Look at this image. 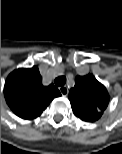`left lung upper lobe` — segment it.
I'll use <instances>...</instances> for the list:
<instances>
[{
    "mask_svg": "<svg viewBox=\"0 0 122 154\" xmlns=\"http://www.w3.org/2000/svg\"><path fill=\"white\" fill-rule=\"evenodd\" d=\"M73 113L80 119L93 122L98 120L109 103V94L104 85L92 74L78 76L75 86L69 92Z\"/></svg>",
    "mask_w": 122,
    "mask_h": 154,
    "instance_id": "obj_1",
    "label": "left lung upper lobe"
}]
</instances>
